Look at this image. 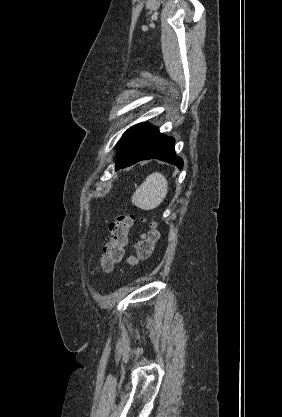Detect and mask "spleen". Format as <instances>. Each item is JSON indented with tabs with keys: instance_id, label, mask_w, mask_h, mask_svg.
I'll return each instance as SVG.
<instances>
[{
	"instance_id": "1",
	"label": "spleen",
	"mask_w": 282,
	"mask_h": 417,
	"mask_svg": "<svg viewBox=\"0 0 282 417\" xmlns=\"http://www.w3.org/2000/svg\"><path fill=\"white\" fill-rule=\"evenodd\" d=\"M167 192L168 180H166L164 174L152 172L136 188L132 196V202L135 206H139V209H143V211H151V209H156V206L163 202Z\"/></svg>"
}]
</instances>
